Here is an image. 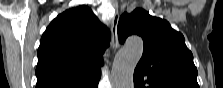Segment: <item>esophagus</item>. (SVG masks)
Masks as SVG:
<instances>
[{
	"label": "esophagus",
	"instance_id": "obj_1",
	"mask_svg": "<svg viewBox=\"0 0 223 88\" xmlns=\"http://www.w3.org/2000/svg\"><path fill=\"white\" fill-rule=\"evenodd\" d=\"M113 14L111 16V32H112V46L113 49L116 50L119 47V39H118V3L116 0L112 2Z\"/></svg>",
	"mask_w": 223,
	"mask_h": 88
}]
</instances>
